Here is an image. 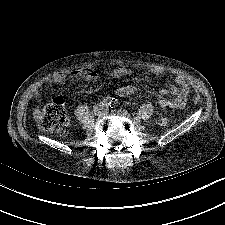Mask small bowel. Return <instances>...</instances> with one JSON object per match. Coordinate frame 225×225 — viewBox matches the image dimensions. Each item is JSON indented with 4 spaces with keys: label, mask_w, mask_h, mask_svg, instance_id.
I'll return each mask as SVG.
<instances>
[{
    "label": "small bowel",
    "mask_w": 225,
    "mask_h": 225,
    "mask_svg": "<svg viewBox=\"0 0 225 225\" xmlns=\"http://www.w3.org/2000/svg\"><path fill=\"white\" fill-rule=\"evenodd\" d=\"M155 74H161L162 71L159 69L153 70ZM130 74V70L126 67H118L115 68L111 72V77L113 78H121ZM68 78H70L74 82H78L79 80L86 81H95L98 78V74L94 70L90 69H81V68H73L68 71H58L49 76L44 85H59L64 83ZM177 86H169L166 88H162L160 90L159 97V105L164 108H183L186 104L187 97L190 93V88L186 83L185 79L181 76L176 77ZM136 91V87L133 85H124L120 86L116 89V94L120 97H127L132 95ZM171 94L175 96V99L170 100L165 96ZM43 96V88L42 86L36 88L33 92V98L35 100H41ZM39 114V111L35 112L36 118Z\"/></svg>",
    "instance_id": "small-bowel-1"
}]
</instances>
